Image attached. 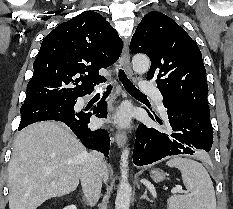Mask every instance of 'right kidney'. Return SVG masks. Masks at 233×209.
Returning a JSON list of instances; mask_svg holds the SVG:
<instances>
[{
  "mask_svg": "<svg viewBox=\"0 0 233 209\" xmlns=\"http://www.w3.org/2000/svg\"><path fill=\"white\" fill-rule=\"evenodd\" d=\"M64 209H76V206L75 205H70V206L65 207Z\"/></svg>",
  "mask_w": 233,
  "mask_h": 209,
  "instance_id": "1",
  "label": "right kidney"
}]
</instances>
